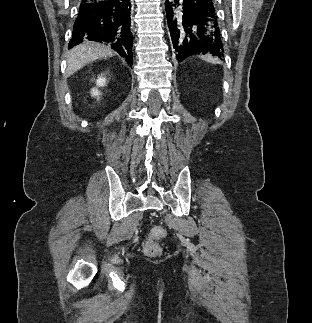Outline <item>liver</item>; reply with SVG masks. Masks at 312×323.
Returning a JSON list of instances; mask_svg holds the SVG:
<instances>
[{
  "label": "liver",
  "mask_w": 312,
  "mask_h": 323,
  "mask_svg": "<svg viewBox=\"0 0 312 323\" xmlns=\"http://www.w3.org/2000/svg\"><path fill=\"white\" fill-rule=\"evenodd\" d=\"M104 56H114L113 50L108 46H103V44H94V42L85 40L83 44H79V46L70 50L67 56V76L75 74L77 70L84 68L89 62H94V60H99Z\"/></svg>",
  "instance_id": "6515ba94"
}]
</instances>
